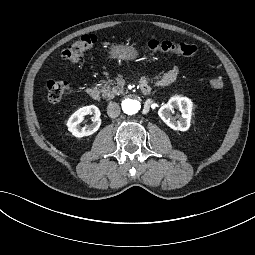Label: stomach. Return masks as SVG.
Returning a JSON list of instances; mask_svg holds the SVG:
<instances>
[{
    "instance_id": "stomach-1",
    "label": "stomach",
    "mask_w": 255,
    "mask_h": 255,
    "mask_svg": "<svg viewBox=\"0 0 255 255\" xmlns=\"http://www.w3.org/2000/svg\"><path fill=\"white\" fill-rule=\"evenodd\" d=\"M107 57L112 60L135 61L139 58V50L128 44H114L109 47Z\"/></svg>"
}]
</instances>
